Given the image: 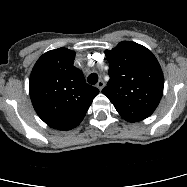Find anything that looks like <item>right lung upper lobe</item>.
<instances>
[{
    "mask_svg": "<svg viewBox=\"0 0 187 187\" xmlns=\"http://www.w3.org/2000/svg\"><path fill=\"white\" fill-rule=\"evenodd\" d=\"M75 52L59 48L44 53L29 80V94L35 111L51 128L70 130L83 120L99 90L86 83L81 70L73 66Z\"/></svg>",
    "mask_w": 187,
    "mask_h": 187,
    "instance_id": "cb5924a9",
    "label": "right lung upper lobe"
}]
</instances>
